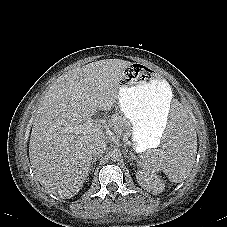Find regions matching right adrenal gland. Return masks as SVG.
I'll return each instance as SVG.
<instances>
[{"mask_svg":"<svg viewBox=\"0 0 227 227\" xmlns=\"http://www.w3.org/2000/svg\"><path fill=\"white\" fill-rule=\"evenodd\" d=\"M98 159H99V157L98 158L97 157L93 158V160L91 161V168H90V170L94 171L95 165H96V161Z\"/></svg>","mask_w":227,"mask_h":227,"instance_id":"right-adrenal-gland-1","label":"right adrenal gland"}]
</instances>
